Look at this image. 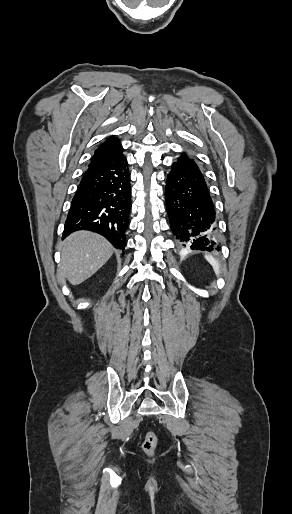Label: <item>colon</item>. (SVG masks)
Returning a JSON list of instances; mask_svg holds the SVG:
<instances>
[{"instance_id": "colon-1", "label": "colon", "mask_w": 292, "mask_h": 514, "mask_svg": "<svg viewBox=\"0 0 292 514\" xmlns=\"http://www.w3.org/2000/svg\"><path fill=\"white\" fill-rule=\"evenodd\" d=\"M156 445H157L156 433L153 430L146 431L144 440L141 445L143 452L148 456L153 455L155 452V449H156Z\"/></svg>"}]
</instances>
